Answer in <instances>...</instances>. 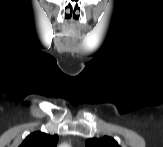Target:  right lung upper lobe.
<instances>
[{
    "label": "right lung upper lobe",
    "instance_id": "obj_1",
    "mask_svg": "<svg viewBox=\"0 0 163 147\" xmlns=\"http://www.w3.org/2000/svg\"><path fill=\"white\" fill-rule=\"evenodd\" d=\"M58 135H50L40 131L28 135L20 147H55Z\"/></svg>",
    "mask_w": 163,
    "mask_h": 147
}]
</instances>
